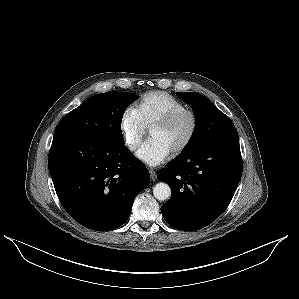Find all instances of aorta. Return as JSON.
I'll return each mask as SVG.
<instances>
[{
  "label": "aorta",
  "instance_id": "762f6f07",
  "mask_svg": "<svg viewBox=\"0 0 299 299\" xmlns=\"http://www.w3.org/2000/svg\"><path fill=\"white\" fill-rule=\"evenodd\" d=\"M154 197L159 201H164L170 198L171 188L167 183H157L153 188Z\"/></svg>",
  "mask_w": 299,
  "mask_h": 299
}]
</instances>
